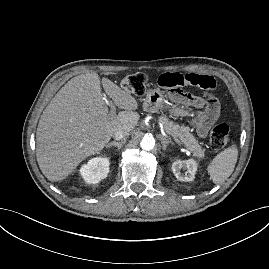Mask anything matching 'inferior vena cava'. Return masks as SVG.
Wrapping results in <instances>:
<instances>
[{
  "label": "inferior vena cava",
  "instance_id": "obj_1",
  "mask_svg": "<svg viewBox=\"0 0 269 269\" xmlns=\"http://www.w3.org/2000/svg\"><path fill=\"white\" fill-rule=\"evenodd\" d=\"M128 136H129V131L127 130H118L114 134V138L117 141H120V140L125 141Z\"/></svg>",
  "mask_w": 269,
  "mask_h": 269
}]
</instances>
